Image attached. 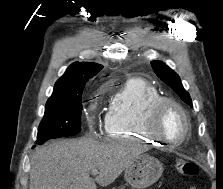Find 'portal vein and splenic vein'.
Segmentation results:
<instances>
[{"mask_svg": "<svg viewBox=\"0 0 223 189\" xmlns=\"http://www.w3.org/2000/svg\"><path fill=\"white\" fill-rule=\"evenodd\" d=\"M91 174H92V175H97V174H98V170H93V171L91 172Z\"/></svg>", "mask_w": 223, "mask_h": 189, "instance_id": "portal-vein-and-splenic-vein-1", "label": "portal vein and splenic vein"}]
</instances>
